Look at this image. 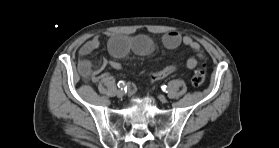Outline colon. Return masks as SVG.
<instances>
[{
    "label": "colon",
    "instance_id": "5ec220e1",
    "mask_svg": "<svg viewBox=\"0 0 279 148\" xmlns=\"http://www.w3.org/2000/svg\"><path fill=\"white\" fill-rule=\"evenodd\" d=\"M207 70L205 65H200L198 68L195 69L193 72L191 83L195 87L201 86L206 78Z\"/></svg>",
    "mask_w": 279,
    "mask_h": 148
}]
</instances>
